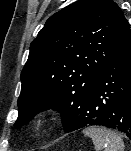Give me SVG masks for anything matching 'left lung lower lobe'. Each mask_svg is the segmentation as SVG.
I'll return each instance as SVG.
<instances>
[{
	"instance_id": "1",
	"label": "left lung lower lobe",
	"mask_w": 131,
	"mask_h": 151,
	"mask_svg": "<svg viewBox=\"0 0 131 151\" xmlns=\"http://www.w3.org/2000/svg\"><path fill=\"white\" fill-rule=\"evenodd\" d=\"M93 125L123 132L131 139V49L102 71L67 132Z\"/></svg>"
}]
</instances>
